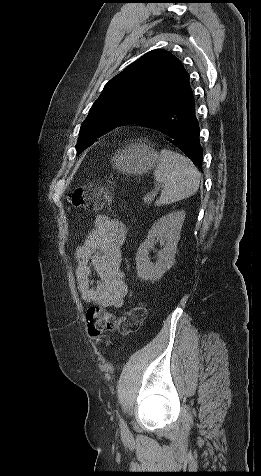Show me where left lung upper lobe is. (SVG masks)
Returning a JSON list of instances; mask_svg holds the SVG:
<instances>
[{"instance_id":"obj_1","label":"left lung upper lobe","mask_w":261,"mask_h":476,"mask_svg":"<svg viewBox=\"0 0 261 476\" xmlns=\"http://www.w3.org/2000/svg\"><path fill=\"white\" fill-rule=\"evenodd\" d=\"M190 90L180 60L163 49L146 53L105 85L82 123L77 154L113 128L160 114Z\"/></svg>"}]
</instances>
